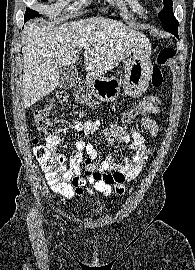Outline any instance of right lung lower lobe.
<instances>
[{"label":"right lung lower lobe","instance_id":"1","mask_svg":"<svg viewBox=\"0 0 195 270\" xmlns=\"http://www.w3.org/2000/svg\"><path fill=\"white\" fill-rule=\"evenodd\" d=\"M34 17H37L36 14H25L24 22L28 21L29 19H32Z\"/></svg>","mask_w":195,"mask_h":270}]
</instances>
